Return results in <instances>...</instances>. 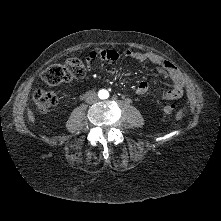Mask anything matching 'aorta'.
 <instances>
[{"label":"aorta","mask_w":221,"mask_h":221,"mask_svg":"<svg viewBox=\"0 0 221 221\" xmlns=\"http://www.w3.org/2000/svg\"><path fill=\"white\" fill-rule=\"evenodd\" d=\"M99 97H100L101 99H107V98L109 97L108 91H107V90H104V89L100 90V91H99Z\"/></svg>","instance_id":"762f6f07"}]
</instances>
